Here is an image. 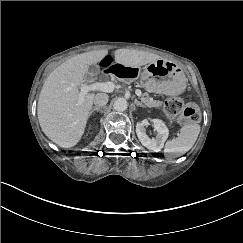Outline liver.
<instances>
[{
  "mask_svg": "<svg viewBox=\"0 0 243 243\" xmlns=\"http://www.w3.org/2000/svg\"><path fill=\"white\" fill-rule=\"evenodd\" d=\"M108 50L81 53L56 67L45 80L37 104V117L44 134L61 148H72L82 139L89 113L94 103V93L84 95L81 104L79 86L90 65L100 63ZM161 56L139 50L117 49L115 63L138 68Z\"/></svg>",
  "mask_w": 243,
  "mask_h": 243,
  "instance_id": "6515ba94",
  "label": "liver"
}]
</instances>
